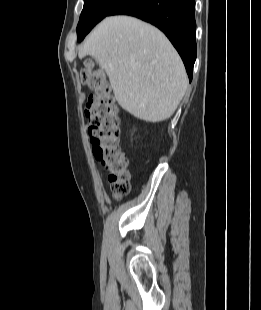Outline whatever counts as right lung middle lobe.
<instances>
[{
  "label": "right lung middle lobe",
  "instance_id": "dd1d6c3e",
  "mask_svg": "<svg viewBox=\"0 0 261 310\" xmlns=\"http://www.w3.org/2000/svg\"><path fill=\"white\" fill-rule=\"evenodd\" d=\"M124 0H84V7L77 26L78 41H81L86 30L92 29L99 21Z\"/></svg>",
  "mask_w": 261,
  "mask_h": 310
}]
</instances>
